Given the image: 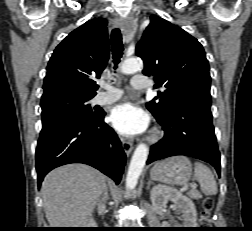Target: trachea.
Listing matches in <instances>:
<instances>
[{
    "label": "trachea",
    "instance_id": "3493384b",
    "mask_svg": "<svg viewBox=\"0 0 252 231\" xmlns=\"http://www.w3.org/2000/svg\"><path fill=\"white\" fill-rule=\"evenodd\" d=\"M111 43H112L114 69H116L123 55L122 35L119 29L112 30Z\"/></svg>",
    "mask_w": 252,
    "mask_h": 231
}]
</instances>
